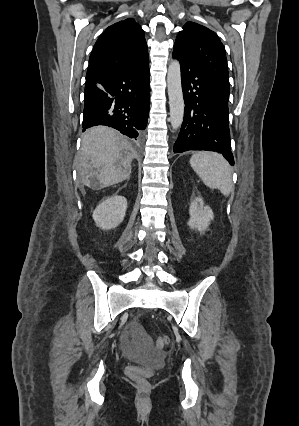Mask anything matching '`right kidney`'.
<instances>
[{
    "instance_id": "ca27d5eb",
    "label": "right kidney",
    "mask_w": 299,
    "mask_h": 426,
    "mask_svg": "<svg viewBox=\"0 0 299 426\" xmlns=\"http://www.w3.org/2000/svg\"><path fill=\"white\" fill-rule=\"evenodd\" d=\"M127 200L124 196L114 194L103 200L94 210L93 219L103 230L116 228L125 217Z\"/></svg>"
}]
</instances>
